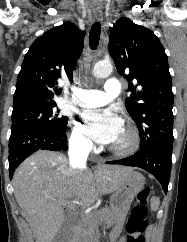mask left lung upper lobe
Masks as SVG:
<instances>
[{"label": "left lung upper lobe", "mask_w": 187, "mask_h": 242, "mask_svg": "<svg viewBox=\"0 0 187 242\" xmlns=\"http://www.w3.org/2000/svg\"><path fill=\"white\" fill-rule=\"evenodd\" d=\"M109 51L128 80L126 109L140 132V150L173 144V92L165 50L149 29L120 18L110 32Z\"/></svg>", "instance_id": "obj_1"}]
</instances>
